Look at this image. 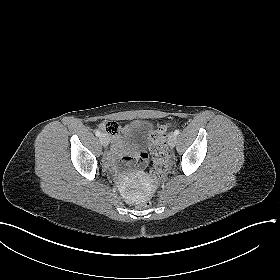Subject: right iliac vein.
<instances>
[{
	"label": "right iliac vein",
	"mask_w": 280,
	"mask_h": 280,
	"mask_svg": "<svg viewBox=\"0 0 280 280\" xmlns=\"http://www.w3.org/2000/svg\"><path fill=\"white\" fill-rule=\"evenodd\" d=\"M100 141L104 147H107L109 145V137L106 134H102L100 136Z\"/></svg>",
	"instance_id": "63e3f726"
}]
</instances>
